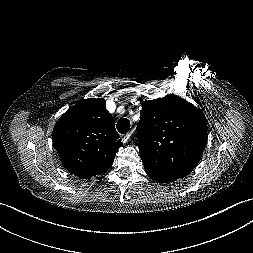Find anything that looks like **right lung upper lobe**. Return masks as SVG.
Masks as SVG:
<instances>
[{"instance_id":"1","label":"right lung upper lobe","mask_w":253,"mask_h":253,"mask_svg":"<svg viewBox=\"0 0 253 253\" xmlns=\"http://www.w3.org/2000/svg\"><path fill=\"white\" fill-rule=\"evenodd\" d=\"M103 98H89L69 108L53 128V147L63 166L82 179L102 174L123 145Z\"/></svg>"}]
</instances>
